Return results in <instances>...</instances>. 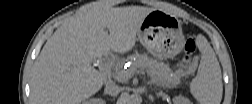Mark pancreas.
<instances>
[{"label": "pancreas", "instance_id": "obj_1", "mask_svg": "<svg viewBox=\"0 0 252 104\" xmlns=\"http://www.w3.org/2000/svg\"><path fill=\"white\" fill-rule=\"evenodd\" d=\"M123 64L124 62L118 61L113 65V74L121 81L127 78L116 73L122 68ZM130 71H145L151 76L153 83L166 87H174L180 82L179 74L173 72L167 64L156 63L146 55L137 56Z\"/></svg>", "mask_w": 252, "mask_h": 104}]
</instances>
